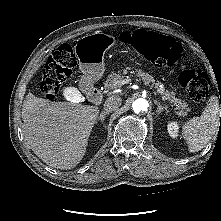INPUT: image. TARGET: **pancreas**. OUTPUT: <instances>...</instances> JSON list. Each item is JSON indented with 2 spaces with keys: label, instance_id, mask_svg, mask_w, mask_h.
Instances as JSON below:
<instances>
[{
  "label": "pancreas",
  "instance_id": "1",
  "mask_svg": "<svg viewBox=\"0 0 221 221\" xmlns=\"http://www.w3.org/2000/svg\"><path fill=\"white\" fill-rule=\"evenodd\" d=\"M130 68L125 69L122 73L121 72H112L108 75L107 80L104 83L105 88L107 89H114L121 87L124 85L125 75L129 72ZM137 76L146 84L150 85L157 89V92L163 96L164 100H167L171 106H175L176 110H178L179 116H186L187 113L191 110L187 103L179 98L175 97L173 92H169L168 90L164 91L159 87V82L156 81L151 75L148 73H144L141 70H136Z\"/></svg>",
  "mask_w": 221,
  "mask_h": 221
}]
</instances>
